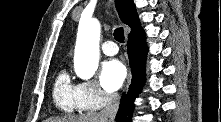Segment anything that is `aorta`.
I'll return each instance as SVG.
<instances>
[{
    "label": "aorta",
    "instance_id": "1",
    "mask_svg": "<svg viewBox=\"0 0 221 122\" xmlns=\"http://www.w3.org/2000/svg\"><path fill=\"white\" fill-rule=\"evenodd\" d=\"M99 41V21L95 18L81 21L74 54V69L81 79H90L98 68Z\"/></svg>",
    "mask_w": 221,
    "mask_h": 122
}]
</instances>
